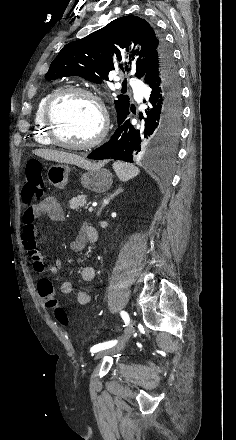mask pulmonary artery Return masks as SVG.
Listing matches in <instances>:
<instances>
[{"label":"pulmonary artery","instance_id":"1","mask_svg":"<svg viewBox=\"0 0 236 440\" xmlns=\"http://www.w3.org/2000/svg\"><path fill=\"white\" fill-rule=\"evenodd\" d=\"M129 84L132 86L133 90L136 93H142L144 92V85L140 80L134 79V78H130L128 80Z\"/></svg>","mask_w":236,"mask_h":440}]
</instances>
